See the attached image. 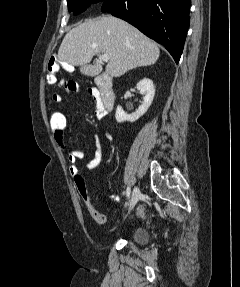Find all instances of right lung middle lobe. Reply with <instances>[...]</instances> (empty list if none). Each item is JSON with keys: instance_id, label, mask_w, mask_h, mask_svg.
I'll return each instance as SVG.
<instances>
[{"instance_id": "dd1d6c3e", "label": "right lung middle lobe", "mask_w": 240, "mask_h": 287, "mask_svg": "<svg viewBox=\"0 0 240 287\" xmlns=\"http://www.w3.org/2000/svg\"><path fill=\"white\" fill-rule=\"evenodd\" d=\"M105 0H67L68 9L75 15L83 12L91 4L103 3Z\"/></svg>"}]
</instances>
